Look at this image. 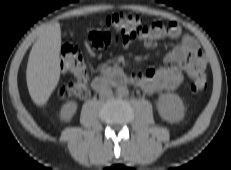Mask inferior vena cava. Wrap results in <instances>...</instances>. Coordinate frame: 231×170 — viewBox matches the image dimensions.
<instances>
[{
    "instance_id": "inferior-vena-cava-1",
    "label": "inferior vena cava",
    "mask_w": 231,
    "mask_h": 170,
    "mask_svg": "<svg viewBox=\"0 0 231 170\" xmlns=\"http://www.w3.org/2000/svg\"><path fill=\"white\" fill-rule=\"evenodd\" d=\"M112 95V89L109 86H103L99 91L100 97H110Z\"/></svg>"
}]
</instances>
